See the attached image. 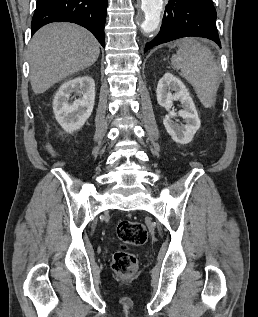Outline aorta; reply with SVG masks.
I'll return each mask as SVG.
<instances>
[{
	"label": "aorta",
	"mask_w": 258,
	"mask_h": 317,
	"mask_svg": "<svg viewBox=\"0 0 258 317\" xmlns=\"http://www.w3.org/2000/svg\"><path fill=\"white\" fill-rule=\"evenodd\" d=\"M162 8L163 0H141V10L145 17L141 24L143 32L150 33L158 28Z\"/></svg>",
	"instance_id": "obj_1"
}]
</instances>
